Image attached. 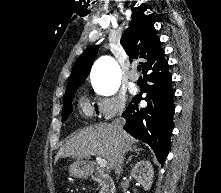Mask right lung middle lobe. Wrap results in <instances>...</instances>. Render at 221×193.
<instances>
[{"label":"right lung middle lobe","instance_id":"1","mask_svg":"<svg viewBox=\"0 0 221 193\" xmlns=\"http://www.w3.org/2000/svg\"><path fill=\"white\" fill-rule=\"evenodd\" d=\"M79 86L80 85H75L69 88L66 87V93L63 100L64 105L62 111L63 121H65L68 115L72 112V99Z\"/></svg>","mask_w":221,"mask_h":193}]
</instances>
